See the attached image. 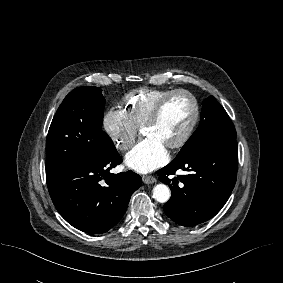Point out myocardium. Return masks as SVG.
Here are the masks:
<instances>
[{"label": "myocardium", "instance_id": "myocardium-1", "mask_svg": "<svg viewBox=\"0 0 283 283\" xmlns=\"http://www.w3.org/2000/svg\"><path fill=\"white\" fill-rule=\"evenodd\" d=\"M178 95L186 96L191 100L193 104V108H194V113H193V117H192V120L189 126L187 127L186 131L181 136V138L177 140L176 142L167 145V147L170 149H178L186 145L187 142L192 137L199 123L200 115H201V108H200V104H199L197 97L192 92L186 89H176V90H172L171 92L167 93L155 104L153 110L151 111L150 115L148 116L147 120L142 126V130H143L144 128L148 126H152L155 123H157L166 104L173 97L178 96Z\"/></svg>", "mask_w": 283, "mask_h": 283}]
</instances>
